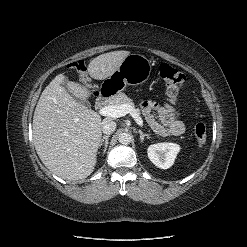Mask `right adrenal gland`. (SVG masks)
I'll list each match as a JSON object with an SVG mask.
<instances>
[{
  "instance_id": "obj_1",
  "label": "right adrenal gland",
  "mask_w": 247,
  "mask_h": 247,
  "mask_svg": "<svg viewBox=\"0 0 247 247\" xmlns=\"http://www.w3.org/2000/svg\"><path fill=\"white\" fill-rule=\"evenodd\" d=\"M110 135H104L100 141L99 147L101 148V146L104 144V150H103V154H105L106 150H107V146H108V140H109Z\"/></svg>"
}]
</instances>
